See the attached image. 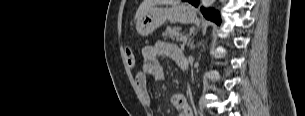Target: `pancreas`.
I'll use <instances>...</instances> for the list:
<instances>
[{
  "mask_svg": "<svg viewBox=\"0 0 305 116\" xmlns=\"http://www.w3.org/2000/svg\"><path fill=\"white\" fill-rule=\"evenodd\" d=\"M162 36L164 39H177L179 38V36H181V34L179 33V31L177 30V28L173 27H167L166 30L162 33ZM184 46V45H183Z\"/></svg>",
  "mask_w": 305,
  "mask_h": 116,
  "instance_id": "obj_1",
  "label": "pancreas"
}]
</instances>
